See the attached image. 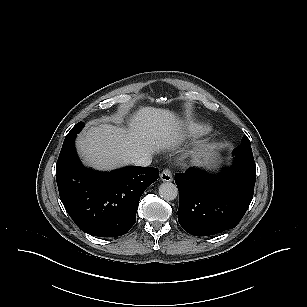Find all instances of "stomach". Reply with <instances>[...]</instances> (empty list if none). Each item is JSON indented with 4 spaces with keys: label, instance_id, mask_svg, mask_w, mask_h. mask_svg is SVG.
Returning <instances> with one entry per match:
<instances>
[{
    "label": "stomach",
    "instance_id": "stomach-1",
    "mask_svg": "<svg viewBox=\"0 0 307 307\" xmlns=\"http://www.w3.org/2000/svg\"><path fill=\"white\" fill-rule=\"evenodd\" d=\"M215 160H216V158H212L210 161H211V162H214Z\"/></svg>",
    "mask_w": 307,
    "mask_h": 307
}]
</instances>
